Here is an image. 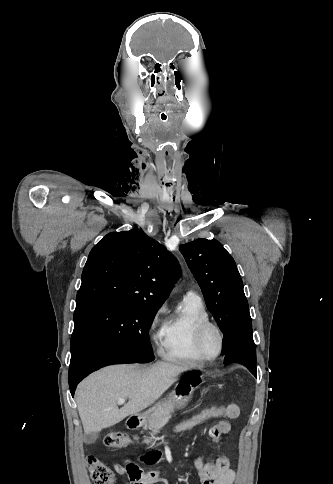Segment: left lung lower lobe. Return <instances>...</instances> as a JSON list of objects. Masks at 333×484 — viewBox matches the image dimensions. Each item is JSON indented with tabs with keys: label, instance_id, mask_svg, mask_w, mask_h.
<instances>
[{
	"label": "left lung lower lobe",
	"instance_id": "obj_1",
	"mask_svg": "<svg viewBox=\"0 0 333 484\" xmlns=\"http://www.w3.org/2000/svg\"><path fill=\"white\" fill-rule=\"evenodd\" d=\"M232 362L246 366L256 376V349L252 335L251 317H247L239 323L231 334L224 355V363Z\"/></svg>",
	"mask_w": 333,
	"mask_h": 484
}]
</instances>
